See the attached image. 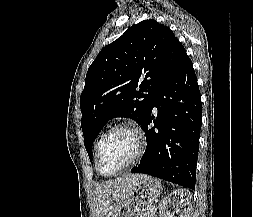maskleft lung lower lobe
<instances>
[{"mask_svg": "<svg viewBox=\"0 0 253 217\" xmlns=\"http://www.w3.org/2000/svg\"><path fill=\"white\" fill-rule=\"evenodd\" d=\"M157 107L155 118L151 115ZM155 126L151 127L150 123ZM202 124L201 98L192 61L185 54L152 97L141 123L147 146L132 173H145L195 189Z\"/></svg>", "mask_w": 253, "mask_h": 217, "instance_id": "0a47b994", "label": "left lung lower lobe"}]
</instances>
